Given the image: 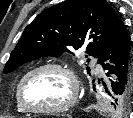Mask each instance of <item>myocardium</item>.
Returning a JSON list of instances; mask_svg holds the SVG:
<instances>
[{"label":"myocardium","instance_id":"obj_1","mask_svg":"<svg viewBox=\"0 0 133 118\" xmlns=\"http://www.w3.org/2000/svg\"><path fill=\"white\" fill-rule=\"evenodd\" d=\"M47 69L59 70L67 75L71 84V95L67 101H65L60 105H56L52 107H40V108L30 106L26 102L24 97L25 84L30 76H32L33 74L39 71L47 70ZM79 94H80V84L74 70L71 67L58 62H48L32 68L31 70H29L23 75L17 87V96H18L19 103L26 110V112L33 113V114H53V113L66 111L76 104L79 98Z\"/></svg>","mask_w":133,"mask_h":118}]
</instances>
